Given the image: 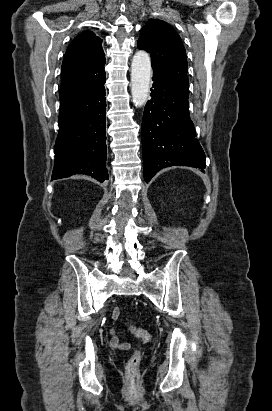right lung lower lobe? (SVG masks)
<instances>
[{
	"mask_svg": "<svg viewBox=\"0 0 272 411\" xmlns=\"http://www.w3.org/2000/svg\"><path fill=\"white\" fill-rule=\"evenodd\" d=\"M105 81L60 100L52 180L74 174H87L100 182L108 179Z\"/></svg>",
	"mask_w": 272,
	"mask_h": 411,
	"instance_id": "right-lung-lower-lobe-1",
	"label": "right lung lower lobe"
}]
</instances>
